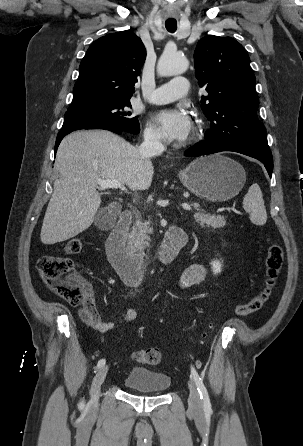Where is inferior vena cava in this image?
I'll use <instances>...</instances> for the list:
<instances>
[{"mask_svg": "<svg viewBox=\"0 0 303 446\" xmlns=\"http://www.w3.org/2000/svg\"><path fill=\"white\" fill-rule=\"evenodd\" d=\"M138 151L143 159L160 155L164 151L160 136L155 133L146 134L144 142L139 146Z\"/></svg>", "mask_w": 303, "mask_h": 446, "instance_id": "inferior-vena-cava-1", "label": "inferior vena cava"}]
</instances>
